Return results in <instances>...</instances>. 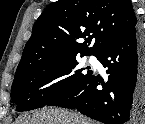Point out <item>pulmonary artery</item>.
<instances>
[{
  "label": "pulmonary artery",
  "instance_id": "pulmonary-artery-1",
  "mask_svg": "<svg viewBox=\"0 0 145 124\" xmlns=\"http://www.w3.org/2000/svg\"><path fill=\"white\" fill-rule=\"evenodd\" d=\"M93 60H94L93 58H90V59H89L90 62H92Z\"/></svg>",
  "mask_w": 145,
  "mask_h": 124
}]
</instances>
